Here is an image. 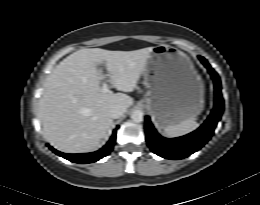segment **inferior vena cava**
<instances>
[{
  "label": "inferior vena cava",
  "instance_id": "1",
  "mask_svg": "<svg viewBox=\"0 0 260 205\" xmlns=\"http://www.w3.org/2000/svg\"><path fill=\"white\" fill-rule=\"evenodd\" d=\"M126 109L121 105H115L109 109L108 114L112 119H117L121 117Z\"/></svg>",
  "mask_w": 260,
  "mask_h": 205
}]
</instances>
